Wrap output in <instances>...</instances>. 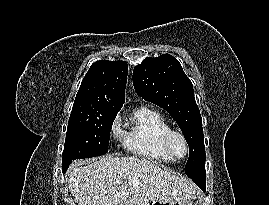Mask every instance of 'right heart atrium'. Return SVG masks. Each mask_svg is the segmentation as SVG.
<instances>
[{
	"label": "right heart atrium",
	"mask_w": 269,
	"mask_h": 205,
	"mask_svg": "<svg viewBox=\"0 0 269 205\" xmlns=\"http://www.w3.org/2000/svg\"><path fill=\"white\" fill-rule=\"evenodd\" d=\"M110 133L114 138H118L122 134L121 120L119 117H115L110 125Z\"/></svg>",
	"instance_id": "obj_1"
}]
</instances>
